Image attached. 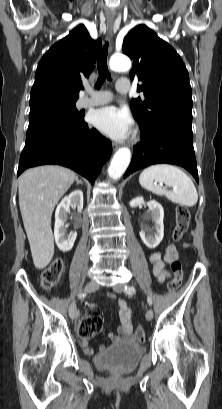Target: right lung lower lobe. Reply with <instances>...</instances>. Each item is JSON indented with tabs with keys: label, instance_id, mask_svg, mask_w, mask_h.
Here are the masks:
<instances>
[{
	"label": "right lung lower lobe",
	"instance_id": "right-lung-lower-lobe-1",
	"mask_svg": "<svg viewBox=\"0 0 222 409\" xmlns=\"http://www.w3.org/2000/svg\"><path fill=\"white\" fill-rule=\"evenodd\" d=\"M112 145L84 119L77 122H47L28 131L21 153L17 176L25 169L58 164L86 177L92 184L109 159Z\"/></svg>",
	"mask_w": 222,
	"mask_h": 409
}]
</instances>
